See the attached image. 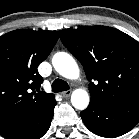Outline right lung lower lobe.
Listing matches in <instances>:
<instances>
[{"instance_id":"1","label":"right lung lower lobe","mask_w":139,"mask_h":139,"mask_svg":"<svg viewBox=\"0 0 139 139\" xmlns=\"http://www.w3.org/2000/svg\"><path fill=\"white\" fill-rule=\"evenodd\" d=\"M55 98L33 115L0 130L6 139H39L48 130L53 117Z\"/></svg>"}]
</instances>
